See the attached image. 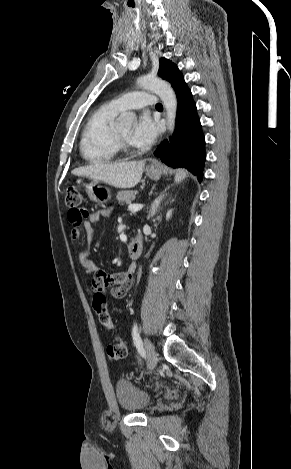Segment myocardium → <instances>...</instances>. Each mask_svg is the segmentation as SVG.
<instances>
[{
    "mask_svg": "<svg viewBox=\"0 0 291 469\" xmlns=\"http://www.w3.org/2000/svg\"><path fill=\"white\" fill-rule=\"evenodd\" d=\"M114 139H115L116 146H117V148L120 152L128 153V152L133 151V148H132L130 142H128L126 139H124L118 133V131L116 129H114Z\"/></svg>",
    "mask_w": 291,
    "mask_h": 469,
    "instance_id": "myocardium-1",
    "label": "myocardium"
}]
</instances>
